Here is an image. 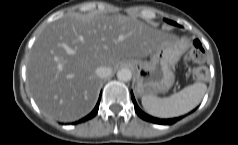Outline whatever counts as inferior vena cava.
<instances>
[{"label": "inferior vena cava", "instance_id": "1", "mask_svg": "<svg viewBox=\"0 0 238 145\" xmlns=\"http://www.w3.org/2000/svg\"><path fill=\"white\" fill-rule=\"evenodd\" d=\"M96 75L100 78H106L112 74V69L106 66H100L95 71Z\"/></svg>", "mask_w": 238, "mask_h": 145}]
</instances>
